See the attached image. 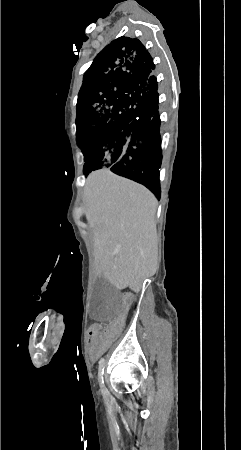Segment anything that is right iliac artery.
<instances>
[{
	"label": "right iliac artery",
	"mask_w": 241,
	"mask_h": 450,
	"mask_svg": "<svg viewBox=\"0 0 241 450\" xmlns=\"http://www.w3.org/2000/svg\"><path fill=\"white\" fill-rule=\"evenodd\" d=\"M103 374H104V361L100 360V362H99V373H98V375H99V382H100V385L102 387L103 393L104 394H108V390L104 386Z\"/></svg>",
	"instance_id": "obj_1"
}]
</instances>
